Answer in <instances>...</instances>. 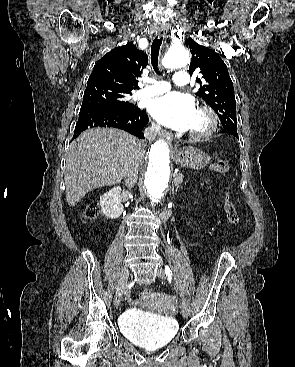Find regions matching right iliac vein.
Returning a JSON list of instances; mask_svg holds the SVG:
<instances>
[{
  "label": "right iliac vein",
  "instance_id": "1",
  "mask_svg": "<svg viewBox=\"0 0 295 367\" xmlns=\"http://www.w3.org/2000/svg\"><path fill=\"white\" fill-rule=\"evenodd\" d=\"M128 277H129V269L128 267H124L122 274L120 276L119 282H118L117 292H116V296L114 300V304L116 306H119L121 303L123 291L127 284Z\"/></svg>",
  "mask_w": 295,
  "mask_h": 367
}]
</instances>
